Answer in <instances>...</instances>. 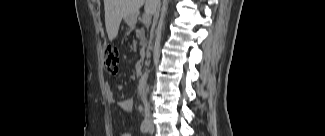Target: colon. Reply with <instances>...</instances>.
I'll use <instances>...</instances> for the list:
<instances>
[{"label":"colon","instance_id":"1","mask_svg":"<svg viewBox=\"0 0 325 136\" xmlns=\"http://www.w3.org/2000/svg\"><path fill=\"white\" fill-rule=\"evenodd\" d=\"M119 53L118 50L112 45H106L103 47V64L104 69L115 74L118 70Z\"/></svg>","mask_w":325,"mask_h":136}]
</instances>
